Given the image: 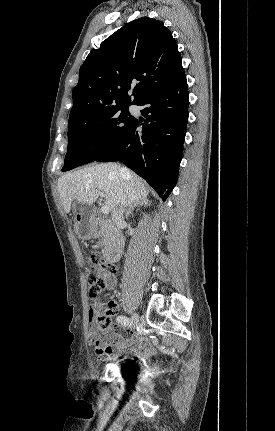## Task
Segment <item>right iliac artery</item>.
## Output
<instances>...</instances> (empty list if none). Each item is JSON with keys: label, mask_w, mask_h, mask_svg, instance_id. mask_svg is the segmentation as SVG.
I'll list each match as a JSON object with an SVG mask.
<instances>
[{"label": "right iliac artery", "mask_w": 275, "mask_h": 431, "mask_svg": "<svg viewBox=\"0 0 275 431\" xmlns=\"http://www.w3.org/2000/svg\"><path fill=\"white\" fill-rule=\"evenodd\" d=\"M116 320L124 326L131 324L130 319L125 316H118Z\"/></svg>", "instance_id": "right-iliac-artery-1"}]
</instances>
